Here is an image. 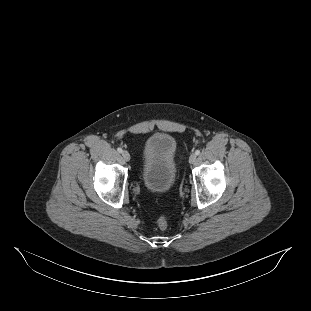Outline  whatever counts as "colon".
I'll return each mask as SVG.
<instances>
[{
    "label": "colon",
    "instance_id": "1",
    "mask_svg": "<svg viewBox=\"0 0 311 311\" xmlns=\"http://www.w3.org/2000/svg\"><path fill=\"white\" fill-rule=\"evenodd\" d=\"M155 223L157 225V227L161 230L166 229L168 222H167V218L165 215H161L159 217L156 218Z\"/></svg>",
    "mask_w": 311,
    "mask_h": 311
}]
</instances>
